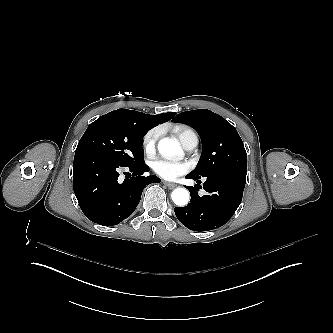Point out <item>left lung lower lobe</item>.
Wrapping results in <instances>:
<instances>
[{
	"instance_id": "0a47b994",
	"label": "left lung lower lobe",
	"mask_w": 333,
	"mask_h": 333,
	"mask_svg": "<svg viewBox=\"0 0 333 333\" xmlns=\"http://www.w3.org/2000/svg\"><path fill=\"white\" fill-rule=\"evenodd\" d=\"M245 171L227 170L219 172L204 182L207 195L200 197L195 187L185 186L191 194L190 204L174 209L178 220L190 230L208 231L229 221L242 201L246 183ZM198 184L201 181L190 174L186 176Z\"/></svg>"
}]
</instances>
